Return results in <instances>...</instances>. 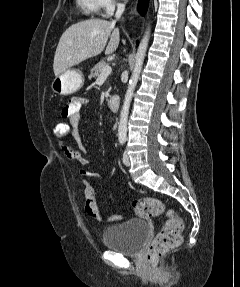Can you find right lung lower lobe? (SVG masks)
Instances as JSON below:
<instances>
[{
  "label": "right lung lower lobe",
  "instance_id": "1",
  "mask_svg": "<svg viewBox=\"0 0 240 287\" xmlns=\"http://www.w3.org/2000/svg\"><path fill=\"white\" fill-rule=\"evenodd\" d=\"M147 7H148V0H139L138 11L141 15L145 14Z\"/></svg>",
  "mask_w": 240,
  "mask_h": 287
}]
</instances>
